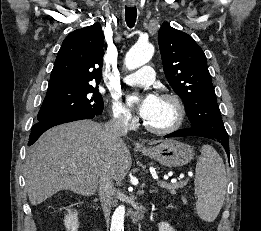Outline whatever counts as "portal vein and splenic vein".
Masks as SVG:
<instances>
[{
  "mask_svg": "<svg viewBox=\"0 0 261 231\" xmlns=\"http://www.w3.org/2000/svg\"><path fill=\"white\" fill-rule=\"evenodd\" d=\"M186 183L185 181H180V182H176V180H171V184H168L165 181H158L159 185H174V186H178L179 184H183Z\"/></svg>",
  "mask_w": 261,
  "mask_h": 231,
  "instance_id": "obj_1",
  "label": "portal vein and splenic vein"
}]
</instances>
